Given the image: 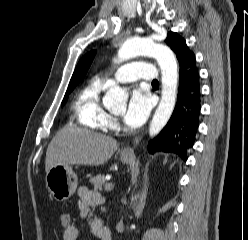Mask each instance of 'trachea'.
I'll return each mask as SVG.
<instances>
[{
  "instance_id": "trachea-1",
  "label": "trachea",
  "mask_w": 248,
  "mask_h": 240,
  "mask_svg": "<svg viewBox=\"0 0 248 240\" xmlns=\"http://www.w3.org/2000/svg\"><path fill=\"white\" fill-rule=\"evenodd\" d=\"M152 84H158L157 80H153Z\"/></svg>"
}]
</instances>
